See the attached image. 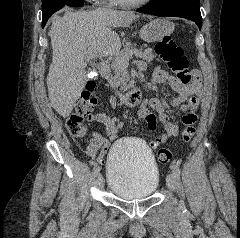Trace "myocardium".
I'll list each match as a JSON object with an SVG mask.
<instances>
[{
	"label": "myocardium",
	"mask_w": 240,
	"mask_h": 238,
	"mask_svg": "<svg viewBox=\"0 0 240 238\" xmlns=\"http://www.w3.org/2000/svg\"><path fill=\"white\" fill-rule=\"evenodd\" d=\"M151 0H139V1H134V2H127L123 0H114V2L124 8H135V7H140L143 5H146L150 2Z\"/></svg>",
	"instance_id": "obj_1"
}]
</instances>
